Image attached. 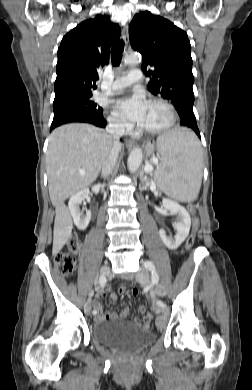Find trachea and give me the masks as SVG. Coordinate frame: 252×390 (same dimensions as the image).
Listing matches in <instances>:
<instances>
[{"instance_id": "trachea-1", "label": "trachea", "mask_w": 252, "mask_h": 390, "mask_svg": "<svg viewBox=\"0 0 252 390\" xmlns=\"http://www.w3.org/2000/svg\"><path fill=\"white\" fill-rule=\"evenodd\" d=\"M123 51H124V41L120 40L111 49V60L113 66H118L120 64Z\"/></svg>"}]
</instances>
